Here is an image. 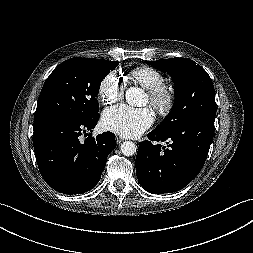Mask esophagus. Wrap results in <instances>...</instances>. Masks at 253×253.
<instances>
[{
    "label": "esophagus",
    "mask_w": 253,
    "mask_h": 253,
    "mask_svg": "<svg viewBox=\"0 0 253 253\" xmlns=\"http://www.w3.org/2000/svg\"><path fill=\"white\" fill-rule=\"evenodd\" d=\"M116 142L117 144H120L121 142H123V139L120 137H116Z\"/></svg>",
    "instance_id": "34e87169"
}]
</instances>
